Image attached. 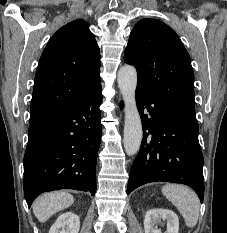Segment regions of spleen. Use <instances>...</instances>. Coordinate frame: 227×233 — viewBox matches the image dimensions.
Here are the masks:
<instances>
[{
  "label": "spleen",
  "instance_id": "obj_1",
  "mask_svg": "<svg viewBox=\"0 0 227 233\" xmlns=\"http://www.w3.org/2000/svg\"><path fill=\"white\" fill-rule=\"evenodd\" d=\"M163 195L179 210L189 228L196 226L199 217V199L188 187L179 184H166Z\"/></svg>",
  "mask_w": 227,
  "mask_h": 233
}]
</instances>
